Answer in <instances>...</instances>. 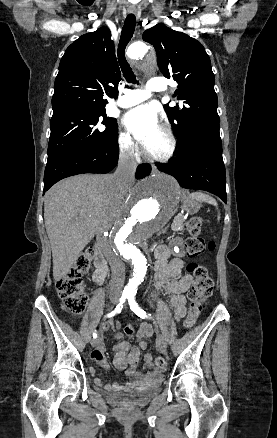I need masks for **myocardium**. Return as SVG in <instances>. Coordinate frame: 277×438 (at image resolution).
<instances>
[{
	"label": "myocardium",
	"instance_id": "obj_1",
	"mask_svg": "<svg viewBox=\"0 0 277 438\" xmlns=\"http://www.w3.org/2000/svg\"><path fill=\"white\" fill-rule=\"evenodd\" d=\"M125 50H127V48ZM158 129L161 130L169 140V149L167 153L164 156H152L147 154L144 149L142 150V152L147 157V159L151 162L165 163L171 160L175 155L177 149V139L172 129L167 125H160Z\"/></svg>",
	"mask_w": 277,
	"mask_h": 438
}]
</instances>
